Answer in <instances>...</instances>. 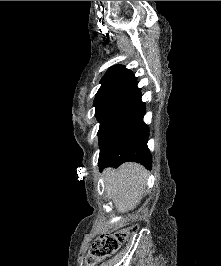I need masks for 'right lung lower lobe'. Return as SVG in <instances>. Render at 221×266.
I'll use <instances>...</instances> for the list:
<instances>
[{"label":"right lung lower lobe","mask_w":221,"mask_h":266,"mask_svg":"<svg viewBox=\"0 0 221 266\" xmlns=\"http://www.w3.org/2000/svg\"><path fill=\"white\" fill-rule=\"evenodd\" d=\"M144 115L145 105L140 94L113 133L100 146V169L118 167L126 161L141 163L151 169L152 156L147 147L149 130L143 122Z\"/></svg>","instance_id":"right-lung-lower-lobe-1"}]
</instances>
